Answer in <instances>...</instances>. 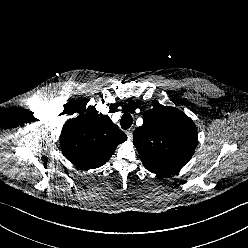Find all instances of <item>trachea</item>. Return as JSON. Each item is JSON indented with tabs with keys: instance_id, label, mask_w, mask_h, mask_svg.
I'll use <instances>...</instances> for the list:
<instances>
[{
	"instance_id": "trachea-1",
	"label": "trachea",
	"mask_w": 248,
	"mask_h": 248,
	"mask_svg": "<svg viewBox=\"0 0 248 248\" xmlns=\"http://www.w3.org/2000/svg\"><path fill=\"white\" fill-rule=\"evenodd\" d=\"M132 123L133 118L129 113H125L120 120L121 128L124 130L130 128Z\"/></svg>"
}]
</instances>
